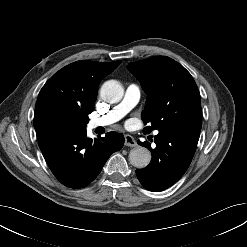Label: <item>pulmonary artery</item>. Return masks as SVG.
I'll return each instance as SVG.
<instances>
[{
	"instance_id": "1",
	"label": "pulmonary artery",
	"mask_w": 247,
	"mask_h": 247,
	"mask_svg": "<svg viewBox=\"0 0 247 247\" xmlns=\"http://www.w3.org/2000/svg\"><path fill=\"white\" fill-rule=\"evenodd\" d=\"M140 99V89L137 85L131 84L127 87L122 101L113 107L106 114L91 119L88 123L89 129H96L111 125L123 118L132 108H134Z\"/></svg>"
}]
</instances>
